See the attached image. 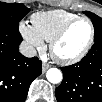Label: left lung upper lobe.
Returning <instances> with one entry per match:
<instances>
[{
  "instance_id": "5c2ea615",
  "label": "left lung upper lobe",
  "mask_w": 102,
  "mask_h": 102,
  "mask_svg": "<svg viewBox=\"0 0 102 102\" xmlns=\"http://www.w3.org/2000/svg\"><path fill=\"white\" fill-rule=\"evenodd\" d=\"M84 13L91 18L94 29H95V37L94 41L102 40V19L95 15L94 13H91L89 11H84Z\"/></svg>"
}]
</instances>
